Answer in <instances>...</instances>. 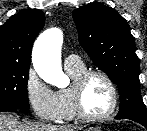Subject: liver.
<instances>
[{
    "mask_svg": "<svg viewBox=\"0 0 147 131\" xmlns=\"http://www.w3.org/2000/svg\"><path fill=\"white\" fill-rule=\"evenodd\" d=\"M81 127L19 122L9 113H0V131H79Z\"/></svg>",
    "mask_w": 147,
    "mask_h": 131,
    "instance_id": "6515ba94",
    "label": "liver"
}]
</instances>
